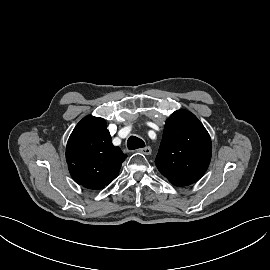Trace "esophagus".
<instances>
[{
    "label": "esophagus",
    "instance_id": "esophagus-1",
    "mask_svg": "<svg viewBox=\"0 0 270 270\" xmlns=\"http://www.w3.org/2000/svg\"><path fill=\"white\" fill-rule=\"evenodd\" d=\"M137 151L140 152V153H142V154L149 155V154H151L152 149H151L150 146H146L144 148L138 149Z\"/></svg>",
    "mask_w": 270,
    "mask_h": 270
}]
</instances>
